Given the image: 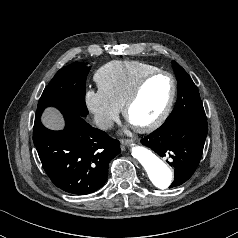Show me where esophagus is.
Returning a JSON list of instances; mask_svg holds the SVG:
<instances>
[{"label": "esophagus", "mask_w": 238, "mask_h": 238, "mask_svg": "<svg viewBox=\"0 0 238 238\" xmlns=\"http://www.w3.org/2000/svg\"><path fill=\"white\" fill-rule=\"evenodd\" d=\"M131 141L130 140H128V139H121V144L122 145H127V144H129Z\"/></svg>", "instance_id": "esophagus-1"}]
</instances>
